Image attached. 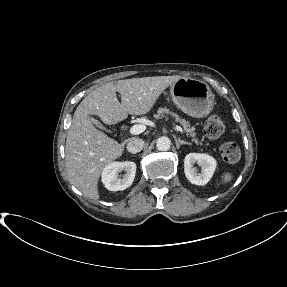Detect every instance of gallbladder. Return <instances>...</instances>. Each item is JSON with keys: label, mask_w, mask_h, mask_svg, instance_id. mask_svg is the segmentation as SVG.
<instances>
[{"label": "gallbladder", "mask_w": 287, "mask_h": 287, "mask_svg": "<svg viewBox=\"0 0 287 287\" xmlns=\"http://www.w3.org/2000/svg\"><path fill=\"white\" fill-rule=\"evenodd\" d=\"M90 120H91V122L95 125V126H97L98 128H100V129H105L103 126H102V124L98 121V120H96V119H94V118H90ZM106 130V129H105Z\"/></svg>", "instance_id": "obj_1"}]
</instances>
